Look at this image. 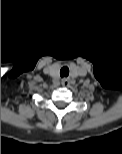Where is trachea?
Returning <instances> with one entry per match:
<instances>
[{"label": "trachea", "instance_id": "trachea-1", "mask_svg": "<svg viewBox=\"0 0 122 154\" xmlns=\"http://www.w3.org/2000/svg\"><path fill=\"white\" fill-rule=\"evenodd\" d=\"M69 75V68L64 66L61 68L60 70V76L63 77H67Z\"/></svg>", "mask_w": 122, "mask_h": 154}]
</instances>
